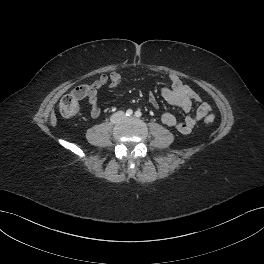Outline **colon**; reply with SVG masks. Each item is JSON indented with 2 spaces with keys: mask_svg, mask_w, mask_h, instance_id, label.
<instances>
[{
  "mask_svg": "<svg viewBox=\"0 0 264 264\" xmlns=\"http://www.w3.org/2000/svg\"><path fill=\"white\" fill-rule=\"evenodd\" d=\"M88 86H80L73 92L65 95L59 104L60 112L65 117L75 116L79 111V103L82 98L87 95ZM214 122V116L208 115L205 118V123L212 124Z\"/></svg>",
  "mask_w": 264,
  "mask_h": 264,
  "instance_id": "obj_1",
  "label": "colon"
}]
</instances>
